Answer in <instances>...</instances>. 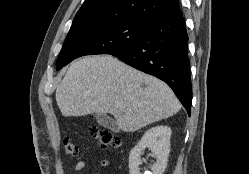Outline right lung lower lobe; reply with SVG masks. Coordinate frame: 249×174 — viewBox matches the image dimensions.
Wrapping results in <instances>:
<instances>
[{"label":"right lung lower lobe","mask_w":249,"mask_h":174,"mask_svg":"<svg viewBox=\"0 0 249 174\" xmlns=\"http://www.w3.org/2000/svg\"><path fill=\"white\" fill-rule=\"evenodd\" d=\"M187 46L188 35L180 11L146 21L142 36L134 44L110 54L166 82L190 116L192 88Z\"/></svg>","instance_id":"98d812e1"}]
</instances>
